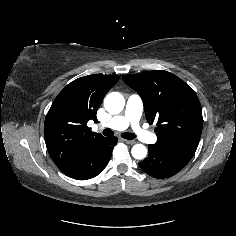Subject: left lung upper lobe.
<instances>
[{"mask_svg": "<svg viewBox=\"0 0 236 236\" xmlns=\"http://www.w3.org/2000/svg\"><path fill=\"white\" fill-rule=\"evenodd\" d=\"M122 79L142 97L149 124L156 122V145L197 148L203 127L201 105L183 80L163 70Z\"/></svg>", "mask_w": 236, "mask_h": 236, "instance_id": "1", "label": "left lung upper lobe"}]
</instances>
